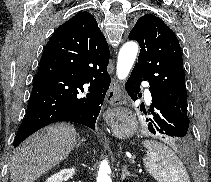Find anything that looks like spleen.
<instances>
[{
  "label": "spleen",
  "mask_w": 211,
  "mask_h": 182,
  "mask_svg": "<svg viewBox=\"0 0 211 182\" xmlns=\"http://www.w3.org/2000/svg\"><path fill=\"white\" fill-rule=\"evenodd\" d=\"M147 149L143 162L146 171L158 182H190L186 168L176 153L154 140L142 142Z\"/></svg>",
  "instance_id": "1"
}]
</instances>
